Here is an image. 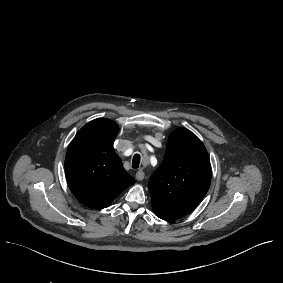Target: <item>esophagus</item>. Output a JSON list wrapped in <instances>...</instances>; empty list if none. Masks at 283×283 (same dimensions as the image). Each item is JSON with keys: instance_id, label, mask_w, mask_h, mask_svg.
<instances>
[{"instance_id": "34e87169", "label": "esophagus", "mask_w": 283, "mask_h": 283, "mask_svg": "<svg viewBox=\"0 0 283 283\" xmlns=\"http://www.w3.org/2000/svg\"><path fill=\"white\" fill-rule=\"evenodd\" d=\"M145 177V173L142 170H139L135 174V178L139 181H142Z\"/></svg>"}]
</instances>
